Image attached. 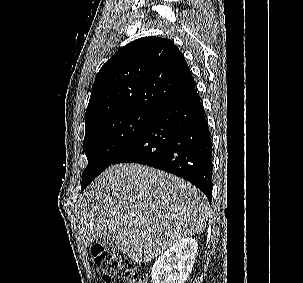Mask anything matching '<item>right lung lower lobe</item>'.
Masks as SVG:
<instances>
[{
    "label": "right lung lower lobe",
    "mask_w": 303,
    "mask_h": 283,
    "mask_svg": "<svg viewBox=\"0 0 303 283\" xmlns=\"http://www.w3.org/2000/svg\"><path fill=\"white\" fill-rule=\"evenodd\" d=\"M194 89L158 111L139 137L113 162L139 163L179 176L211 202L212 142Z\"/></svg>",
    "instance_id": "98d812e1"
}]
</instances>
